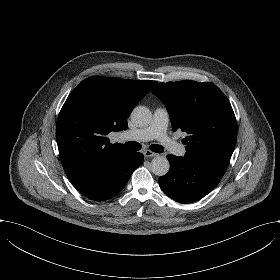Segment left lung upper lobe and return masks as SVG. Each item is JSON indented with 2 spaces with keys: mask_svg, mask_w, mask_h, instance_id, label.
I'll use <instances>...</instances> for the list:
<instances>
[{
  "mask_svg": "<svg viewBox=\"0 0 280 280\" xmlns=\"http://www.w3.org/2000/svg\"><path fill=\"white\" fill-rule=\"evenodd\" d=\"M152 93L165 104L172 129L186 132L185 157L228 167L237 141V123L224 93L209 82L159 83Z\"/></svg>",
  "mask_w": 280,
  "mask_h": 280,
  "instance_id": "obj_1",
  "label": "left lung upper lobe"
}]
</instances>
